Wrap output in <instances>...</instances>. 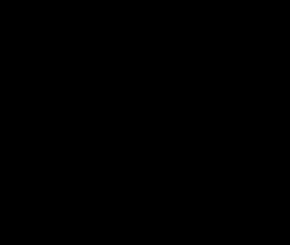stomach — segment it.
<instances>
[{"mask_svg":"<svg viewBox=\"0 0 290 245\" xmlns=\"http://www.w3.org/2000/svg\"><path fill=\"white\" fill-rule=\"evenodd\" d=\"M154 15L155 14H153L152 12H149V11L141 12V13L134 12V11H128V12H124L123 14H120L119 16H116V18H114L115 20H113L112 23L116 27H124L127 30V32L140 43V45H145V44H143V43H145V42H143V41H145V40H143L144 39L143 33H146L145 31H146L148 25H150V23H154L157 27H165L166 25H169V23H171L170 18H168V19L155 18ZM162 45L163 44H158V46H157L158 50H155V51H158V52H155V53H158V54H155V55H158V56H155V57H158L156 59H163L161 57H163V55L165 53L164 52L165 50H163V49H165V48H163L165 46H162ZM144 57H146L145 59H146V61H148V63H151V62H149L150 58H147V56H144ZM157 61H160V60H157ZM161 67H163V66H161ZM152 69H155V68H152ZM158 69H162V68H158ZM153 71H156V72H154V73H156L155 75H160L158 73H164V72H157V71H164V70H153ZM161 75H166L165 77H168L167 76L168 74H161ZM157 77H162V76H157ZM178 79L179 80H173V82H171V83H173V87H175V88H170L171 92H169V93H171L170 95H173L175 97V99H177L176 100L177 101L176 102L177 103L176 104L177 105L176 111H179L177 113H183L182 111H185L184 105H187L184 103H187L188 101H191L192 99L193 100L198 99V97H199L198 96L199 95L198 94L199 93L198 92L199 91L198 85L199 84H198V82H196L197 80L195 78H192V76H182L181 78H178Z\"/></svg>","mask_w":290,"mask_h":245,"instance_id":"stomach-1","label":"stomach"}]
</instances>
